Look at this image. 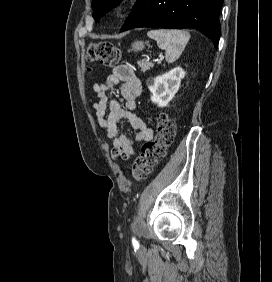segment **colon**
<instances>
[{"label": "colon", "mask_w": 272, "mask_h": 282, "mask_svg": "<svg viewBox=\"0 0 272 282\" xmlns=\"http://www.w3.org/2000/svg\"><path fill=\"white\" fill-rule=\"evenodd\" d=\"M121 51L111 43L100 42L91 44L86 53L89 62H97L113 67L121 60ZM157 134L153 141L146 143L142 153L132 163L130 171L135 180L145 179L166 156L168 148L175 137V124L167 115L161 114L157 119Z\"/></svg>", "instance_id": "obj_1"}]
</instances>
